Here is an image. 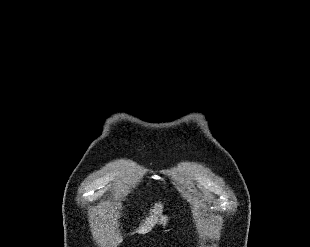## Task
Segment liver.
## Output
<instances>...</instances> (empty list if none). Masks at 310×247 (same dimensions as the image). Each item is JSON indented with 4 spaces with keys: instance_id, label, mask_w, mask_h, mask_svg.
Listing matches in <instances>:
<instances>
[{
    "instance_id": "obj_1",
    "label": "liver",
    "mask_w": 310,
    "mask_h": 247,
    "mask_svg": "<svg viewBox=\"0 0 310 247\" xmlns=\"http://www.w3.org/2000/svg\"><path fill=\"white\" fill-rule=\"evenodd\" d=\"M163 205L161 203H156L154 208L150 210V216L146 218L144 224H142L139 229L136 230L138 233H146L150 228L156 223L158 215L162 212ZM122 242V238L118 239V243Z\"/></svg>"
}]
</instances>
